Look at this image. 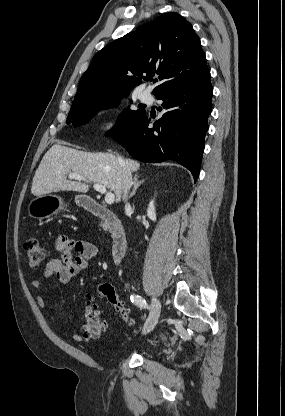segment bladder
I'll return each instance as SVG.
<instances>
[{
    "label": "bladder",
    "instance_id": "bladder-1",
    "mask_svg": "<svg viewBox=\"0 0 285 416\" xmlns=\"http://www.w3.org/2000/svg\"><path fill=\"white\" fill-rule=\"evenodd\" d=\"M130 349H139L143 352H154L157 350V345L151 342L137 341L135 343L126 342L120 349L121 353Z\"/></svg>",
    "mask_w": 285,
    "mask_h": 416
}]
</instances>
